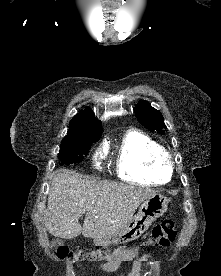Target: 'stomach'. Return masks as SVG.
<instances>
[{
    "label": "stomach",
    "instance_id": "0dacf381",
    "mask_svg": "<svg viewBox=\"0 0 221 276\" xmlns=\"http://www.w3.org/2000/svg\"><path fill=\"white\" fill-rule=\"evenodd\" d=\"M168 202L166 197L158 194L146 199L124 229L108 238L95 239V245H118L138 239L148 230L152 222L166 212Z\"/></svg>",
    "mask_w": 221,
    "mask_h": 276
}]
</instances>
